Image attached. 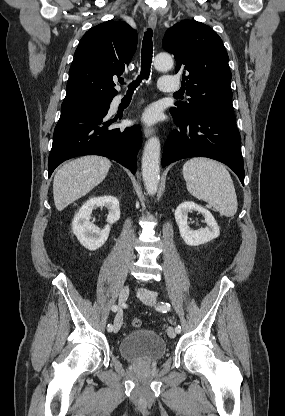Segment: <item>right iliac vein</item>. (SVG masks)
Returning <instances> with one entry per match:
<instances>
[{"label":"right iliac vein","mask_w":285,"mask_h":416,"mask_svg":"<svg viewBox=\"0 0 285 416\" xmlns=\"http://www.w3.org/2000/svg\"><path fill=\"white\" fill-rule=\"evenodd\" d=\"M129 286L125 285L122 287L120 294H119V303L123 304L126 302L128 296H129ZM122 321H123V315L121 312H119L115 318L114 321V327H113V331L116 333L120 330L121 326H122Z\"/></svg>","instance_id":"1"}]
</instances>
